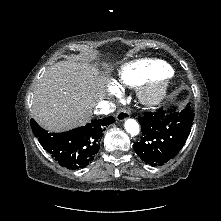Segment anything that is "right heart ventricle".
<instances>
[{"label":"right heart ventricle","mask_w":221,"mask_h":221,"mask_svg":"<svg viewBox=\"0 0 221 221\" xmlns=\"http://www.w3.org/2000/svg\"><path fill=\"white\" fill-rule=\"evenodd\" d=\"M170 67L160 60H138L124 65L119 80L129 87H138L146 82L170 74Z\"/></svg>","instance_id":"obj_1"}]
</instances>
